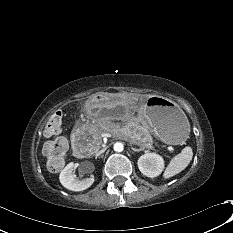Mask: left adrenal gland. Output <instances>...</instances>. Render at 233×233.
Instances as JSON below:
<instances>
[{
    "label": "left adrenal gland",
    "instance_id": "1",
    "mask_svg": "<svg viewBox=\"0 0 233 233\" xmlns=\"http://www.w3.org/2000/svg\"><path fill=\"white\" fill-rule=\"evenodd\" d=\"M131 149H132L133 151H135V152H139V151L144 150V148H142V147H141V148H139V149H136V148H133V147H132Z\"/></svg>",
    "mask_w": 233,
    "mask_h": 233
}]
</instances>
